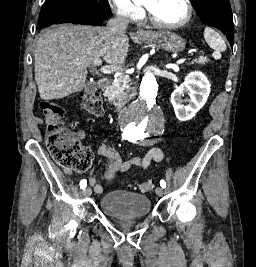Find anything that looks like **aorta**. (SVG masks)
<instances>
[{
	"label": "aorta",
	"instance_id": "762f6f07",
	"mask_svg": "<svg viewBox=\"0 0 256 267\" xmlns=\"http://www.w3.org/2000/svg\"><path fill=\"white\" fill-rule=\"evenodd\" d=\"M155 75H144L141 81V94L139 101L126 108L125 117H120V127H160V122H165V117H160L161 108L152 104L157 97ZM124 133H137V138H143V143H159V138H154L157 128H124Z\"/></svg>",
	"mask_w": 256,
	"mask_h": 267
}]
</instances>
